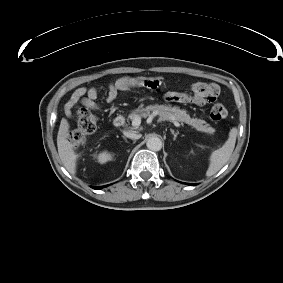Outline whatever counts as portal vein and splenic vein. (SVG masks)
<instances>
[{"instance_id": "portal-vein-and-splenic-vein-1", "label": "portal vein and splenic vein", "mask_w": 283, "mask_h": 283, "mask_svg": "<svg viewBox=\"0 0 283 283\" xmlns=\"http://www.w3.org/2000/svg\"><path fill=\"white\" fill-rule=\"evenodd\" d=\"M141 124V118L140 117H135L132 121V126L133 127H139ZM173 124L176 126V127H180V124L177 122V121H174Z\"/></svg>"}]
</instances>
